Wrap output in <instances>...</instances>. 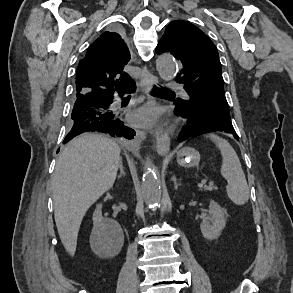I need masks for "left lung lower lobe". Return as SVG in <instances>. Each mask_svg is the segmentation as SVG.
<instances>
[{
    "instance_id": "left-lung-lower-lobe-1",
    "label": "left lung lower lobe",
    "mask_w": 293,
    "mask_h": 293,
    "mask_svg": "<svg viewBox=\"0 0 293 293\" xmlns=\"http://www.w3.org/2000/svg\"><path fill=\"white\" fill-rule=\"evenodd\" d=\"M172 100H174L175 112L183 117H187L190 124L188 129L180 134L179 141H183L193 135H199L211 131H224L232 134L234 138L238 140L231 119L224 116L204 118L202 115L195 112L194 107L196 106L194 105V102L189 101L187 104H182L177 102V98L174 96H172Z\"/></svg>"
}]
</instances>
